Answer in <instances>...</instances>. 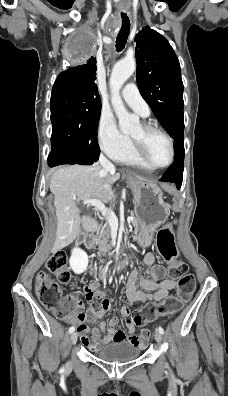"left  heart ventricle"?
<instances>
[{
	"label": "left heart ventricle",
	"mask_w": 228,
	"mask_h": 396,
	"mask_svg": "<svg viewBox=\"0 0 228 396\" xmlns=\"http://www.w3.org/2000/svg\"><path fill=\"white\" fill-rule=\"evenodd\" d=\"M130 136L142 143L149 161L161 166L166 164L171 155L170 145L167 139L157 132H146L141 124L136 126Z\"/></svg>",
	"instance_id": "1"
}]
</instances>
